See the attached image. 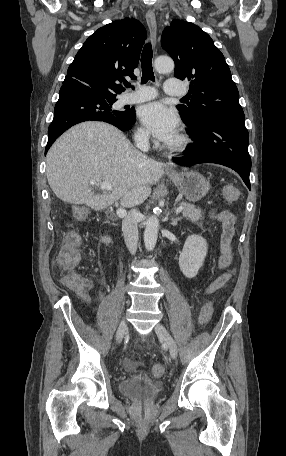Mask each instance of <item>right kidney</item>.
I'll list each match as a JSON object with an SVG mask.
<instances>
[{"label": "right kidney", "mask_w": 286, "mask_h": 456, "mask_svg": "<svg viewBox=\"0 0 286 456\" xmlns=\"http://www.w3.org/2000/svg\"><path fill=\"white\" fill-rule=\"evenodd\" d=\"M102 241H103L104 243H106L107 245H108L109 243H111V239H110L109 237H107V236L103 237V238H102Z\"/></svg>", "instance_id": "right-kidney-1"}]
</instances>
